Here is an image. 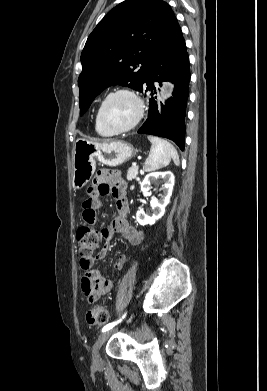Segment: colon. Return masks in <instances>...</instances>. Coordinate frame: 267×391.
<instances>
[{
    "mask_svg": "<svg viewBox=\"0 0 267 391\" xmlns=\"http://www.w3.org/2000/svg\"><path fill=\"white\" fill-rule=\"evenodd\" d=\"M101 238V232L89 226L83 225L77 229L76 239L81 261L89 262L93 253L99 248ZM85 319L89 325L104 324L108 320V312L103 306L95 305L88 310Z\"/></svg>",
    "mask_w": 267,
    "mask_h": 391,
    "instance_id": "colon-1",
    "label": "colon"
}]
</instances>
